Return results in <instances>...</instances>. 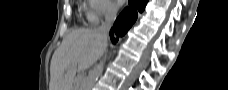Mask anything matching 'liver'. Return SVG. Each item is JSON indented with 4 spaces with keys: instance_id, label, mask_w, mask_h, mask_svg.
<instances>
[{
    "instance_id": "6515ba94",
    "label": "liver",
    "mask_w": 228,
    "mask_h": 90,
    "mask_svg": "<svg viewBox=\"0 0 228 90\" xmlns=\"http://www.w3.org/2000/svg\"><path fill=\"white\" fill-rule=\"evenodd\" d=\"M106 47L107 39L96 30L81 28L70 32L52 56L49 90H72L77 71L92 66Z\"/></svg>"
}]
</instances>
